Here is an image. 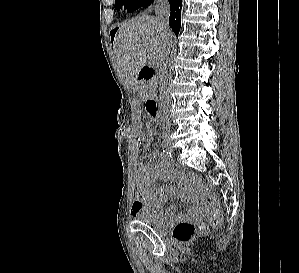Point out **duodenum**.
Returning <instances> with one entry per match:
<instances>
[{"label":"duodenum","mask_w":299,"mask_h":273,"mask_svg":"<svg viewBox=\"0 0 299 273\" xmlns=\"http://www.w3.org/2000/svg\"><path fill=\"white\" fill-rule=\"evenodd\" d=\"M154 77L153 69L148 66H142L137 72V80L143 85L145 91V108L147 113L160 122V110L158 101L151 91V82Z\"/></svg>","instance_id":"410a0bca"}]
</instances>
